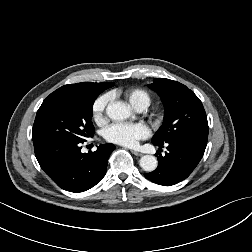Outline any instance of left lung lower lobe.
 Instances as JSON below:
<instances>
[{
    "mask_svg": "<svg viewBox=\"0 0 252 252\" xmlns=\"http://www.w3.org/2000/svg\"><path fill=\"white\" fill-rule=\"evenodd\" d=\"M160 148L163 145L154 144ZM165 156L156 154L158 167L145 173V177L159 185L171 186L186 179L203 157L207 139L198 136H187L168 143Z\"/></svg>",
    "mask_w": 252,
    "mask_h": 252,
    "instance_id": "left-lung-lower-lobe-1",
    "label": "left lung lower lobe"
}]
</instances>
